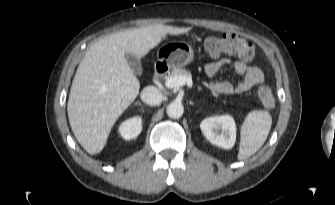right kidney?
Instances as JSON below:
<instances>
[{"instance_id": "1", "label": "right kidney", "mask_w": 335, "mask_h": 205, "mask_svg": "<svg viewBox=\"0 0 335 205\" xmlns=\"http://www.w3.org/2000/svg\"><path fill=\"white\" fill-rule=\"evenodd\" d=\"M119 134L125 140L136 138L142 131V120L140 116L127 119L119 126Z\"/></svg>"}]
</instances>
